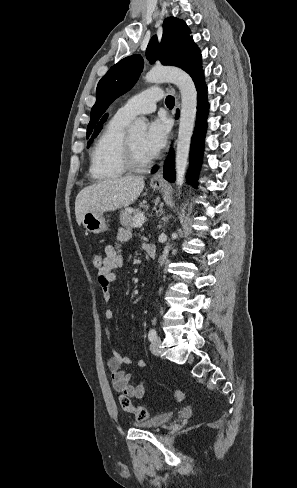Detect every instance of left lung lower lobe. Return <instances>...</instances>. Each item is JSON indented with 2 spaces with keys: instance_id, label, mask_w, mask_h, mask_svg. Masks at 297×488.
I'll list each match as a JSON object with an SVG mask.
<instances>
[{
  "instance_id": "0a47b994",
  "label": "left lung lower lobe",
  "mask_w": 297,
  "mask_h": 488,
  "mask_svg": "<svg viewBox=\"0 0 297 488\" xmlns=\"http://www.w3.org/2000/svg\"><path fill=\"white\" fill-rule=\"evenodd\" d=\"M197 89V120L195 130L192 137L191 144V169L189 172V181L195 182L196 175L200 168L201 158L203 154V141L207 127L208 103H207V88L204 81L203 72H200L192 78ZM179 116V110L176 112V118ZM157 168L152 170L156 172ZM175 172L173 163V152L170 151L169 156L164 165V178L169 182H174Z\"/></svg>"
}]
</instances>
